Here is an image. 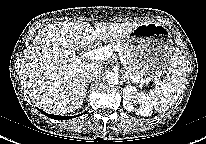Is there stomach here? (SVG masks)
Wrapping results in <instances>:
<instances>
[{"instance_id":"1","label":"stomach","mask_w":206,"mask_h":144,"mask_svg":"<svg viewBox=\"0 0 206 144\" xmlns=\"http://www.w3.org/2000/svg\"><path fill=\"white\" fill-rule=\"evenodd\" d=\"M130 54L137 60L143 77L154 78L166 74L174 47L171 33L162 24H139L123 41Z\"/></svg>"}]
</instances>
